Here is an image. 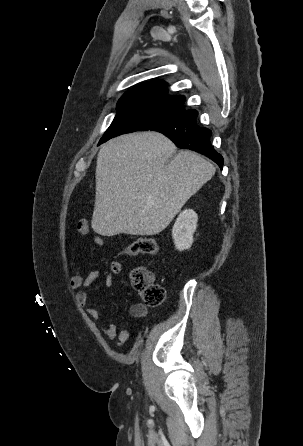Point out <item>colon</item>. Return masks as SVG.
Here are the masks:
<instances>
[{
  "label": "colon",
  "mask_w": 303,
  "mask_h": 446,
  "mask_svg": "<svg viewBox=\"0 0 303 446\" xmlns=\"http://www.w3.org/2000/svg\"><path fill=\"white\" fill-rule=\"evenodd\" d=\"M158 251L159 246L154 239L139 238L127 246L121 254L127 256L156 255ZM131 279L134 288L139 292L145 304L157 306L163 302L165 291L162 286L154 283L150 273L142 268H137L132 272Z\"/></svg>",
  "instance_id": "colon-1"
}]
</instances>
